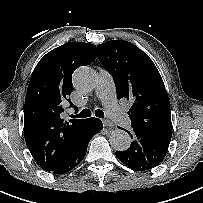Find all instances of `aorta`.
Listing matches in <instances>:
<instances>
[{
    "label": "aorta",
    "instance_id": "1",
    "mask_svg": "<svg viewBox=\"0 0 203 203\" xmlns=\"http://www.w3.org/2000/svg\"><path fill=\"white\" fill-rule=\"evenodd\" d=\"M75 88L81 93H88L94 89L97 82L95 72L87 67L78 68L73 75ZM111 147L116 151H125L130 147V135L121 129L111 132L109 137Z\"/></svg>",
    "mask_w": 203,
    "mask_h": 203
}]
</instances>
